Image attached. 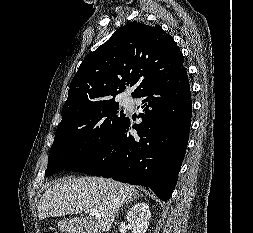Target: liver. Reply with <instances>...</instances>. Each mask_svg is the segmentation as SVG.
<instances>
[{
	"mask_svg": "<svg viewBox=\"0 0 253 233\" xmlns=\"http://www.w3.org/2000/svg\"><path fill=\"white\" fill-rule=\"evenodd\" d=\"M137 196L134 186L101 177H65L42 195L39 219L78 214L95 208L99 212L92 226L95 231L108 232L122 204Z\"/></svg>",
	"mask_w": 253,
	"mask_h": 233,
	"instance_id": "6515ba94",
	"label": "liver"
}]
</instances>
